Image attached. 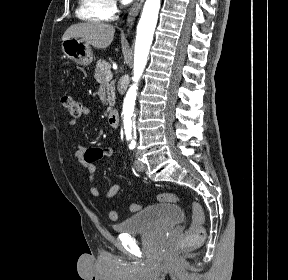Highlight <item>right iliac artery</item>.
<instances>
[{
  "mask_svg": "<svg viewBox=\"0 0 288 280\" xmlns=\"http://www.w3.org/2000/svg\"><path fill=\"white\" fill-rule=\"evenodd\" d=\"M134 148V144L132 142V144H130V149Z\"/></svg>",
  "mask_w": 288,
  "mask_h": 280,
  "instance_id": "right-iliac-artery-1",
  "label": "right iliac artery"
}]
</instances>
